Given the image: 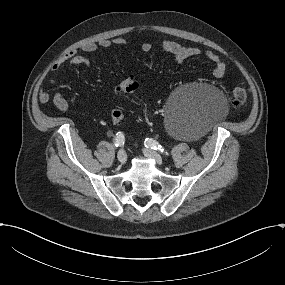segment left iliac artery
<instances>
[{"label":"left iliac artery","instance_id":"left-iliac-artery-1","mask_svg":"<svg viewBox=\"0 0 285 285\" xmlns=\"http://www.w3.org/2000/svg\"><path fill=\"white\" fill-rule=\"evenodd\" d=\"M144 144L147 148L159 150L161 152H164L167 156H170V154L165 151L164 148L156 140H153L152 138H146Z\"/></svg>","mask_w":285,"mask_h":285}]
</instances>
